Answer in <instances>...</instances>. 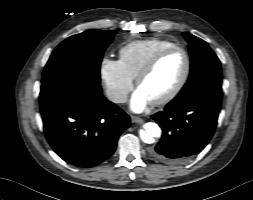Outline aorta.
I'll return each mask as SVG.
<instances>
[{
  "label": "aorta",
  "mask_w": 253,
  "mask_h": 200,
  "mask_svg": "<svg viewBox=\"0 0 253 200\" xmlns=\"http://www.w3.org/2000/svg\"><path fill=\"white\" fill-rule=\"evenodd\" d=\"M144 129L140 132V137L145 143H153V138L161 135V129L156 123L148 122L144 124Z\"/></svg>",
  "instance_id": "762f6f07"
}]
</instances>
